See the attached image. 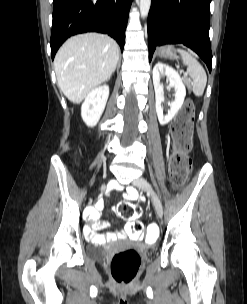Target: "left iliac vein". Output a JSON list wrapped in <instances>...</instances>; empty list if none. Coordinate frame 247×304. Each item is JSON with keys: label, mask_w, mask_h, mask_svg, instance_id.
<instances>
[{"label": "left iliac vein", "mask_w": 247, "mask_h": 304, "mask_svg": "<svg viewBox=\"0 0 247 304\" xmlns=\"http://www.w3.org/2000/svg\"><path fill=\"white\" fill-rule=\"evenodd\" d=\"M132 183L134 186L138 187L143 191H146L150 195L158 217H162L163 209H162L161 201L158 195L153 190L152 186L149 184V182L143 177H138L134 179Z\"/></svg>", "instance_id": "obj_1"}]
</instances>
